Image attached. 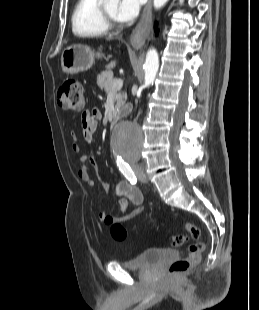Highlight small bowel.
Returning <instances> with one entry per match:
<instances>
[{
    "instance_id": "c3829d8e",
    "label": "small bowel",
    "mask_w": 259,
    "mask_h": 310,
    "mask_svg": "<svg viewBox=\"0 0 259 310\" xmlns=\"http://www.w3.org/2000/svg\"><path fill=\"white\" fill-rule=\"evenodd\" d=\"M101 112L97 108L86 110L81 114L82 136L85 142L92 143L94 141L95 132L98 121L101 119ZM71 148L75 152H79L81 144L76 133H71ZM96 167V161L91 153H86L80 157V167L78 169L79 178L84 181L89 187L95 186V180L91 177L89 166ZM114 194L120 198L121 214L117 217H112L106 212H100L98 218L105 225L112 224L117 221H127L135 218L143 211V195L140 189L127 181H120L114 188ZM129 204L133 205L130 211H127Z\"/></svg>"
}]
</instances>
